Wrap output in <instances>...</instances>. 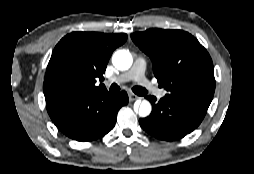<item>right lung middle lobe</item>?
Masks as SVG:
<instances>
[{
	"mask_svg": "<svg viewBox=\"0 0 254 174\" xmlns=\"http://www.w3.org/2000/svg\"><path fill=\"white\" fill-rule=\"evenodd\" d=\"M77 92L75 89L67 88L60 92L61 97Z\"/></svg>",
	"mask_w": 254,
	"mask_h": 174,
	"instance_id": "1",
	"label": "right lung middle lobe"
}]
</instances>
